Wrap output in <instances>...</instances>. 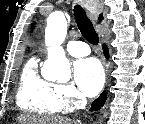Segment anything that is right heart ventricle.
I'll use <instances>...</instances> for the list:
<instances>
[{
    "mask_svg": "<svg viewBox=\"0 0 145 124\" xmlns=\"http://www.w3.org/2000/svg\"><path fill=\"white\" fill-rule=\"evenodd\" d=\"M56 87L54 82L40 75L38 59L32 58L19 79L17 104L22 110L35 115H55L61 112L56 102Z\"/></svg>",
    "mask_w": 145,
    "mask_h": 124,
    "instance_id": "1",
    "label": "right heart ventricle"
}]
</instances>
